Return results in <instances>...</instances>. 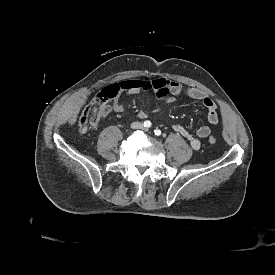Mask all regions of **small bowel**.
I'll list each match as a JSON object with an SVG mask.
<instances>
[{
	"label": "small bowel",
	"mask_w": 275,
	"mask_h": 275,
	"mask_svg": "<svg viewBox=\"0 0 275 275\" xmlns=\"http://www.w3.org/2000/svg\"><path fill=\"white\" fill-rule=\"evenodd\" d=\"M125 91V98L133 96L142 91H152L153 98L156 103V107L153 111L158 115L162 112L163 105L168 102L174 101L178 97H185L192 100L199 101L206 109V118L209 125L200 126L195 134H192L184 125L180 123H173L172 129L177 134L185 137L194 149H199L200 139L207 138L211 133V125H217L219 123L218 107L215 101L208 96L204 91L196 87L184 86L183 84L169 80L166 78H157L154 80H129L121 83ZM111 109L120 113L124 110V102L120 98L113 100ZM148 116L146 111H139L138 117L145 119ZM99 121L94 120L91 122V127L97 129ZM87 130V129H86ZM81 131L82 133L86 132Z\"/></svg>",
	"instance_id": "small-bowel-1"
}]
</instances>
